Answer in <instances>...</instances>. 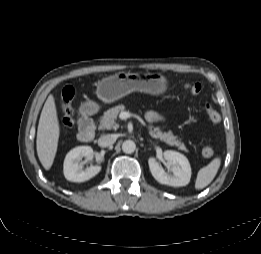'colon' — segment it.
<instances>
[{
  "instance_id": "5ec220e1",
  "label": "colon",
  "mask_w": 261,
  "mask_h": 254,
  "mask_svg": "<svg viewBox=\"0 0 261 254\" xmlns=\"http://www.w3.org/2000/svg\"><path fill=\"white\" fill-rule=\"evenodd\" d=\"M183 88L192 96H198L201 92L199 83L184 84ZM74 98V89L70 86L65 87L58 99L60 125L64 132H68L73 125V109L72 101ZM204 110L206 117L213 123L221 121L220 113L215 110L209 103H205ZM202 155L205 158H210L214 155V149L211 146H206L202 149Z\"/></svg>"
}]
</instances>
